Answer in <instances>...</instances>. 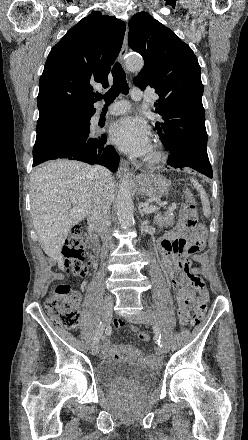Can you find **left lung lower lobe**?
I'll return each instance as SVG.
<instances>
[{
  "label": "left lung lower lobe",
  "instance_id": "left-lung-lower-lobe-1",
  "mask_svg": "<svg viewBox=\"0 0 248 440\" xmlns=\"http://www.w3.org/2000/svg\"><path fill=\"white\" fill-rule=\"evenodd\" d=\"M170 152L167 164L173 168H192L209 178L213 177L206 147L187 143H175L166 147Z\"/></svg>",
  "mask_w": 248,
  "mask_h": 440
}]
</instances>
